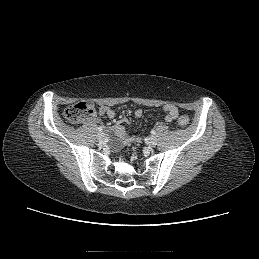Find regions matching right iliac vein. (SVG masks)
Segmentation results:
<instances>
[{"label": "right iliac vein", "instance_id": "63e3f726", "mask_svg": "<svg viewBox=\"0 0 259 259\" xmlns=\"http://www.w3.org/2000/svg\"><path fill=\"white\" fill-rule=\"evenodd\" d=\"M97 139L99 142H103L105 140V134L103 132H99L97 135Z\"/></svg>", "mask_w": 259, "mask_h": 259}]
</instances>
